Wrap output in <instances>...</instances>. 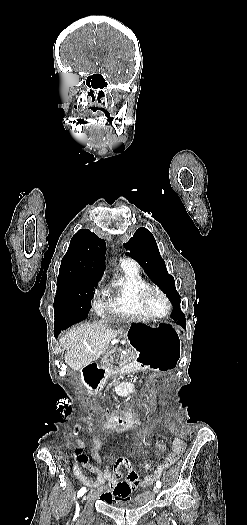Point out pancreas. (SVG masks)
I'll return each mask as SVG.
<instances>
[{
    "label": "pancreas",
    "instance_id": "obj_1",
    "mask_svg": "<svg viewBox=\"0 0 247 525\" xmlns=\"http://www.w3.org/2000/svg\"><path fill=\"white\" fill-rule=\"evenodd\" d=\"M121 352H126L127 354H122V356H119V359L126 361L137 360V355H135V352L132 348L121 349ZM102 358H104V364H109L108 355H102ZM111 359H114V356H111Z\"/></svg>",
    "mask_w": 247,
    "mask_h": 525
}]
</instances>
